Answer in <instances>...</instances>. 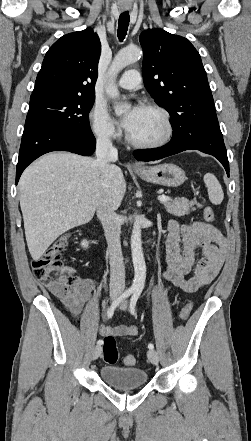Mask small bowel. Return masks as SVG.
Segmentation results:
<instances>
[{
    "instance_id": "small-bowel-1",
    "label": "small bowel",
    "mask_w": 251,
    "mask_h": 441,
    "mask_svg": "<svg viewBox=\"0 0 251 441\" xmlns=\"http://www.w3.org/2000/svg\"><path fill=\"white\" fill-rule=\"evenodd\" d=\"M167 229L164 278L172 287L187 293L197 292L218 275L224 262L225 241L216 228L200 221L180 225L176 220H170ZM198 250L203 253L200 259H197ZM192 271L193 276L187 278ZM93 289L94 283L89 278H80L78 284L64 291L50 287L75 319L80 318ZM98 330L103 337H132L138 333L134 325L125 324L112 327L99 324Z\"/></svg>"
}]
</instances>
